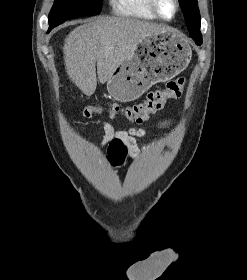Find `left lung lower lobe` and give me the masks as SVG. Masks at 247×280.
Listing matches in <instances>:
<instances>
[{
	"instance_id": "0a47b994",
	"label": "left lung lower lobe",
	"mask_w": 247,
	"mask_h": 280,
	"mask_svg": "<svg viewBox=\"0 0 247 280\" xmlns=\"http://www.w3.org/2000/svg\"><path fill=\"white\" fill-rule=\"evenodd\" d=\"M191 37L196 41L197 45H201L202 44V36L199 37V36H196V35L192 34Z\"/></svg>"
}]
</instances>
